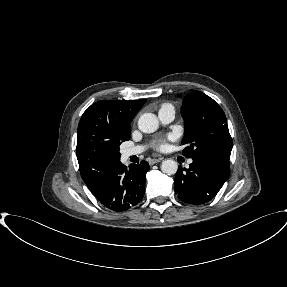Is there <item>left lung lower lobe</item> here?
Returning <instances> with one entry per match:
<instances>
[{
  "label": "left lung lower lobe",
  "instance_id": "obj_1",
  "mask_svg": "<svg viewBox=\"0 0 287 287\" xmlns=\"http://www.w3.org/2000/svg\"><path fill=\"white\" fill-rule=\"evenodd\" d=\"M188 169L179 168L174 179L178 198L189 204H204L219 192L230 175L229 158L203 155L192 158Z\"/></svg>",
  "mask_w": 287,
  "mask_h": 287
}]
</instances>
